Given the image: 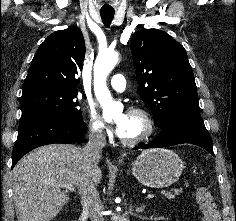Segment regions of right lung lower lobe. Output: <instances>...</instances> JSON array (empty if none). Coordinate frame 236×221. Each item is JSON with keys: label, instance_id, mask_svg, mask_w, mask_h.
I'll use <instances>...</instances> for the list:
<instances>
[{"label": "right lung lower lobe", "instance_id": "right-lung-lower-lobe-1", "mask_svg": "<svg viewBox=\"0 0 236 221\" xmlns=\"http://www.w3.org/2000/svg\"><path fill=\"white\" fill-rule=\"evenodd\" d=\"M86 133L83 120L41 113L21 118L18 137L12 153V168L26 153L53 143H74Z\"/></svg>", "mask_w": 236, "mask_h": 221}]
</instances>
